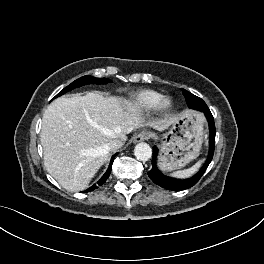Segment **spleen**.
Segmentation results:
<instances>
[{
	"label": "spleen",
	"instance_id": "3e777b00",
	"mask_svg": "<svg viewBox=\"0 0 264 264\" xmlns=\"http://www.w3.org/2000/svg\"><path fill=\"white\" fill-rule=\"evenodd\" d=\"M201 164H202V160H199L192 167H190L188 169H184V170L175 171L171 175L173 177H176V178H187V177H190V176H192L193 174H195L198 171V169L201 167Z\"/></svg>",
	"mask_w": 264,
	"mask_h": 264
}]
</instances>
